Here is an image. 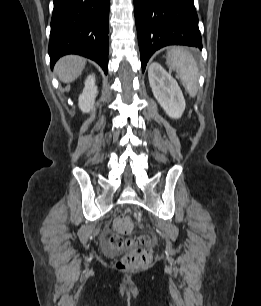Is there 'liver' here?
I'll return each instance as SVG.
<instances>
[{
	"label": "liver",
	"instance_id": "obj_1",
	"mask_svg": "<svg viewBox=\"0 0 261 306\" xmlns=\"http://www.w3.org/2000/svg\"><path fill=\"white\" fill-rule=\"evenodd\" d=\"M85 64V59L71 55L61 58L57 62L55 70L62 82L69 83L81 75Z\"/></svg>",
	"mask_w": 261,
	"mask_h": 306
}]
</instances>
